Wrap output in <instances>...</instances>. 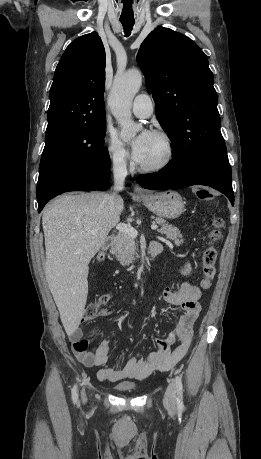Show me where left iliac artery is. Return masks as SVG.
I'll use <instances>...</instances> for the list:
<instances>
[{"label":"left iliac artery","instance_id":"1","mask_svg":"<svg viewBox=\"0 0 261 459\" xmlns=\"http://www.w3.org/2000/svg\"><path fill=\"white\" fill-rule=\"evenodd\" d=\"M175 385H176V392H177V396H176L177 407L179 409H182L184 408V405H183V384H182L181 377L176 376Z\"/></svg>","mask_w":261,"mask_h":459}]
</instances>
